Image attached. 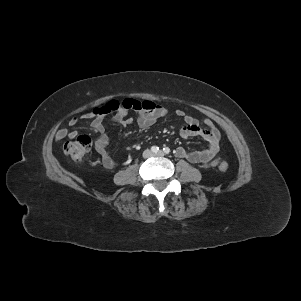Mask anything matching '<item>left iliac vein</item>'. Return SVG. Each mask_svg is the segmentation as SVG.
I'll return each mask as SVG.
<instances>
[{
	"mask_svg": "<svg viewBox=\"0 0 301 301\" xmlns=\"http://www.w3.org/2000/svg\"><path fill=\"white\" fill-rule=\"evenodd\" d=\"M156 156H163L164 155V152L162 150L158 151L156 154Z\"/></svg>",
	"mask_w": 301,
	"mask_h": 301,
	"instance_id": "1",
	"label": "left iliac vein"
}]
</instances>
